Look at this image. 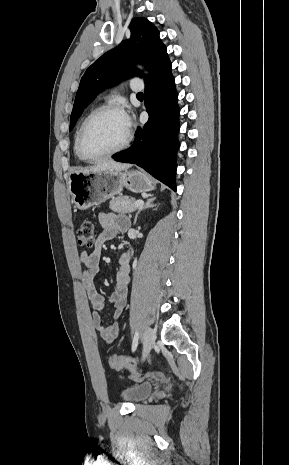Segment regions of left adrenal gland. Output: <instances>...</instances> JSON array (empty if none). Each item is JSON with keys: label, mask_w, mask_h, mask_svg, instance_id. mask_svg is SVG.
<instances>
[{"label": "left adrenal gland", "mask_w": 289, "mask_h": 465, "mask_svg": "<svg viewBox=\"0 0 289 465\" xmlns=\"http://www.w3.org/2000/svg\"><path fill=\"white\" fill-rule=\"evenodd\" d=\"M155 199H156V198H152V197H151V198H148V199L146 200L145 204L142 205L141 207H139V209H138V211H137V213H136V215H135V218H134V222H133L134 225L136 224L137 217H138L139 213H140L142 210L156 206V204H154Z\"/></svg>", "instance_id": "1"}]
</instances>
